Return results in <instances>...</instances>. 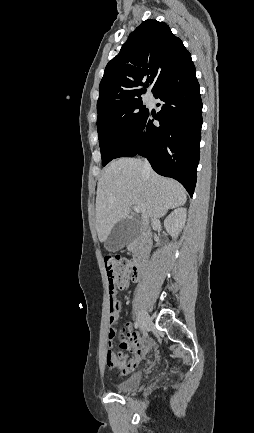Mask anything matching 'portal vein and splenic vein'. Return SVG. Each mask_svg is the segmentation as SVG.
<instances>
[{"mask_svg": "<svg viewBox=\"0 0 254 433\" xmlns=\"http://www.w3.org/2000/svg\"><path fill=\"white\" fill-rule=\"evenodd\" d=\"M133 209H134V211L137 212V213H139V212L141 211V210H140V207H138V206H134Z\"/></svg>", "mask_w": 254, "mask_h": 433, "instance_id": "portal-vein-and-splenic-vein-1", "label": "portal vein and splenic vein"}]
</instances>
